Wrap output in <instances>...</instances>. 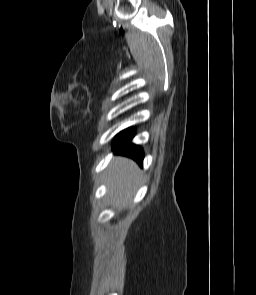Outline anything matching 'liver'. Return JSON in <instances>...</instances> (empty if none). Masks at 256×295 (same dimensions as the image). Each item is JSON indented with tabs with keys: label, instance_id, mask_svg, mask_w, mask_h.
I'll use <instances>...</instances> for the list:
<instances>
[{
	"label": "liver",
	"instance_id": "1",
	"mask_svg": "<svg viewBox=\"0 0 256 295\" xmlns=\"http://www.w3.org/2000/svg\"><path fill=\"white\" fill-rule=\"evenodd\" d=\"M140 180L136 164L125 157H117L107 171L109 196L113 205L124 207L135 192Z\"/></svg>",
	"mask_w": 256,
	"mask_h": 295
}]
</instances>
